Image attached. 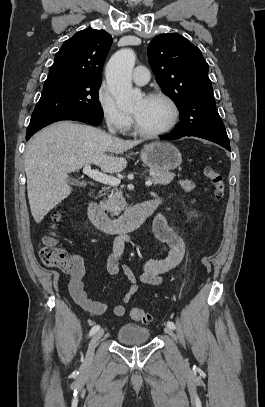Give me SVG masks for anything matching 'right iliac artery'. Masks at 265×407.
<instances>
[{
  "label": "right iliac artery",
  "mask_w": 265,
  "mask_h": 407,
  "mask_svg": "<svg viewBox=\"0 0 265 407\" xmlns=\"http://www.w3.org/2000/svg\"><path fill=\"white\" fill-rule=\"evenodd\" d=\"M100 326L99 325H95L91 328L90 332H89V336L94 335L97 331H99Z\"/></svg>",
  "instance_id": "right-iliac-artery-1"
}]
</instances>
